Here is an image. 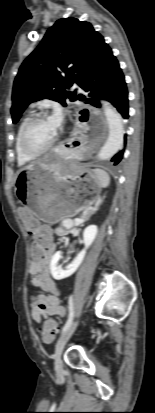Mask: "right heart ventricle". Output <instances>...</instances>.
Here are the masks:
<instances>
[{
  "label": "right heart ventricle",
  "mask_w": 155,
  "mask_h": 413,
  "mask_svg": "<svg viewBox=\"0 0 155 413\" xmlns=\"http://www.w3.org/2000/svg\"><path fill=\"white\" fill-rule=\"evenodd\" d=\"M31 118L30 114H26L22 120L19 123V126L17 128L16 136H15V152H16V157H17V162L19 165H25L28 162H30L33 157L27 156L21 149V144H20V135L23 126L25 123Z\"/></svg>",
  "instance_id": "e07e8e85"
}]
</instances>
